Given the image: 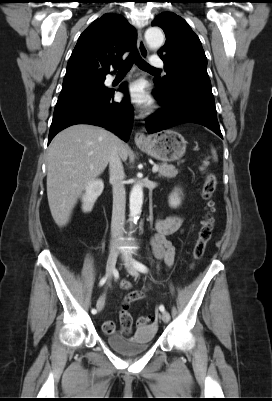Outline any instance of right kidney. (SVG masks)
<instances>
[{
    "label": "right kidney",
    "mask_w": 272,
    "mask_h": 401,
    "mask_svg": "<svg viewBox=\"0 0 272 401\" xmlns=\"http://www.w3.org/2000/svg\"><path fill=\"white\" fill-rule=\"evenodd\" d=\"M104 183L100 179L90 181L85 187V194L82 196V210L90 212L97 198L102 194Z\"/></svg>",
    "instance_id": "right-kidney-1"
}]
</instances>
